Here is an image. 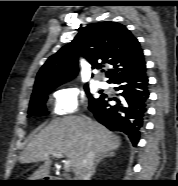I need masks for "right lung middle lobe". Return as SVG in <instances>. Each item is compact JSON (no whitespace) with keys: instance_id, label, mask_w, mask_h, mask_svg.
I'll return each mask as SVG.
<instances>
[{"instance_id":"dd1d6c3e","label":"right lung middle lobe","mask_w":178,"mask_h":186,"mask_svg":"<svg viewBox=\"0 0 178 186\" xmlns=\"http://www.w3.org/2000/svg\"><path fill=\"white\" fill-rule=\"evenodd\" d=\"M53 90V88L49 89H43L36 94L32 95L31 101H30V106H29V111L28 114L29 116L32 115H44L46 114V107L45 103L48 98V94ZM84 90L86 94H88L90 104L94 102L96 99L92 98L91 95L89 94L88 87L87 85L84 87Z\"/></svg>"}]
</instances>
